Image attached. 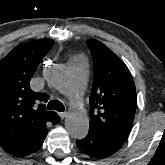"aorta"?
Instances as JSON below:
<instances>
[{"label":"aorta","instance_id":"obj_1","mask_svg":"<svg viewBox=\"0 0 165 165\" xmlns=\"http://www.w3.org/2000/svg\"><path fill=\"white\" fill-rule=\"evenodd\" d=\"M44 77L52 86L63 90L66 86V70L60 64H50L44 70ZM67 132L75 139H83L89 130V119L85 111L74 107L65 121Z\"/></svg>","mask_w":165,"mask_h":165}]
</instances>
